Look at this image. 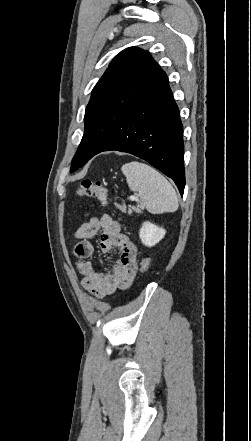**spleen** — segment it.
I'll return each mask as SVG.
<instances>
[{
  "label": "spleen",
  "mask_w": 251,
  "mask_h": 441,
  "mask_svg": "<svg viewBox=\"0 0 251 441\" xmlns=\"http://www.w3.org/2000/svg\"><path fill=\"white\" fill-rule=\"evenodd\" d=\"M131 191L138 192L141 205L150 213L175 212L178 209L177 194L157 170L145 163L132 161L121 168Z\"/></svg>",
  "instance_id": "obj_1"
}]
</instances>
